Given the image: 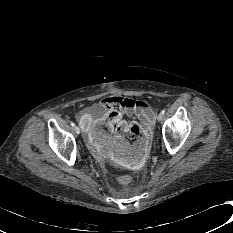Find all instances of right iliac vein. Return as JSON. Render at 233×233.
Segmentation results:
<instances>
[{"label": "right iliac vein", "mask_w": 233, "mask_h": 233, "mask_svg": "<svg viewBox=\"0 0 233 233\" xmlns=\"http://www.w3.org/2000/svg\"><path fill=\"white\" fill-rule=\"evenodd\" d=\"M74 130H75L76 134H79V133H80V129H79L78 126H75Z\"/></svg>", "instance_id": "1"}]
</instances>
